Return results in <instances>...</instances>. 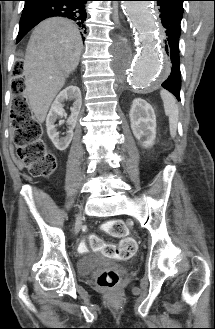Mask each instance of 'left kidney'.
I'll use <instances>...</instances> for the list:
<instances>
[{"instance_id": "obj_1", "label": "left kidney", "mask_w": 215, "mask_h": 329, "mask_svg": "<svg viewBox=\"0 0 215 329\" xmlns=\"http://www.w3.org/2000/svg\"><path fill=\"white\" fill-rule=\"evenodd\" d=\"M134 136L146 148L154 144L156 138V115L152 106L144 99L136 98L129 113Z\"/></svg>"}]
</instances>
